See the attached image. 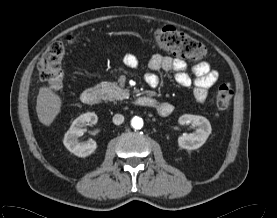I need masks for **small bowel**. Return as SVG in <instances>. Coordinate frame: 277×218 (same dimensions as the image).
Segmentation results:
<instances>
[{"label": "small bowel", "mask_w": 277, "mask_h": 218, "mask_svg": "<svg viewBox=\"0 0 277 218\" xmlns=\"http://www.w3.org/2000/svg\"><path fill=\"white\" fill-rule=\"evenodd\" d=\"M124 63L130 67L138 66V59L133 54H127L124 57ZM149 68L152 71L175 72V81L182 87L193 88V95L197 102L203 103L208 97V89L218 80V72L210 68V65L203 61L195 64L192 68V75L187 73V63L181 58H173L161 54H154L149 60ZM145 82L150 87H156L159 83L158 76L149 72L145 75ZM171 106L168 102H163ZM172 111V106H171ZM158 113L163 114V109Z\"/></svg>", "instance_id": "c3829d8e"}]
</instances>
